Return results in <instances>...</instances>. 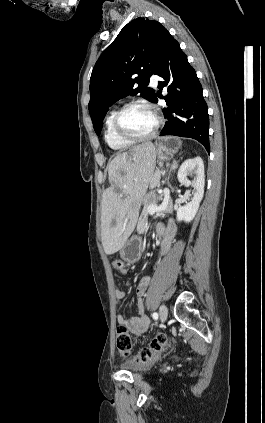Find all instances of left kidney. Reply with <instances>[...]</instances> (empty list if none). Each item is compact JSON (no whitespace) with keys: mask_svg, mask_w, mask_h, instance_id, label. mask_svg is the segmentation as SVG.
I'll return each mask as SVG.
<instances>
[{"mask_svg":"<svg viewBox=\"0 0 265 423\" xmlns=\"http://www.w3.org/2000/svg\"><path fill=\"white\" fill-rule=\"evenodd\" d=\"M192 174H195L193 182L187 178V176ZM177 178L182 185L194 187L191 202L187 203L185 206L179 207L177 210V221L191 222L199 209L200 202L204 195L205 175L202 158L198 156L185 160L178 170Z\"/></svg>","mask_w":265,"mask_h":423,"instance_id":"5707ae66","label":"left kidney"}]
</instances>
